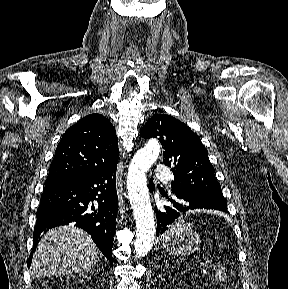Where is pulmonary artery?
<instances>
[{
	"label": "pulmonary artery",
	"mask_w": 288,
	"mask_h": 289,
	"mask_svg": "<svg viewBox=\"0 0 288 289\" xmlns=\"http://www.w3.org/2000/svg\"><path fill=\"white\" fill-rule=\"evenodd\" d=\"M155 175L158 179H161V180H164L165 182H167V184H170V182L173 179L170 171L168 169L160 167V166L156 168Z\"/></svg>",
	"instance_id": "pulmonary-artery-1"
}]
</instances>
